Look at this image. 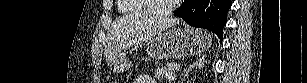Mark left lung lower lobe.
<instances>
[{
    "mask_svg": "<svg viewBox=\"0 0 307 83\" xmlns=\"http://www.w3.org/2000/svg\"><path fill=\"white\" fill-rule=\"evenodd\" d=\"M231 5V0H185L174 13L191 26L216 33L222 40Z\"/></svg>",
    "mask_w": 307,
    "mask_h": 83,
    "instance_id": "left-lung-lower-lobe-1",
    "label": "left lung lower lobe"
}]
</instances>
